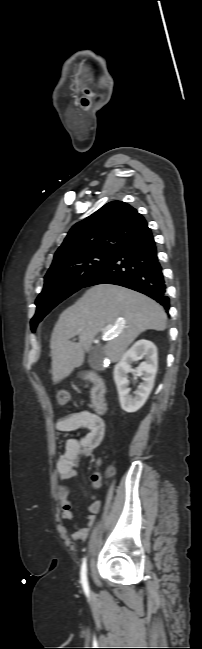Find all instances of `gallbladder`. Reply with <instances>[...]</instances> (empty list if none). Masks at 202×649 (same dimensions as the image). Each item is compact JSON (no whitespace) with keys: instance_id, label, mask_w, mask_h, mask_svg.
<instances>
[{"instance_id":"gallbladder-1","label":"gallbladder","mask_w":202,"mask_h":649,"mask_svg":"<svg viewBox=\"0 0 202 649\" xmlns=\"http://www.w3.org/2000/svg\"><path fill=\"white\" fill-rule=\"evenodd\" d=\"M103 361V354L96 349H91L88 355V362L94 369H100Z\"/></svg>"}]
</instances>
